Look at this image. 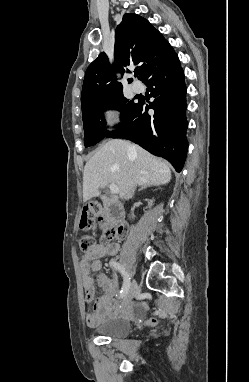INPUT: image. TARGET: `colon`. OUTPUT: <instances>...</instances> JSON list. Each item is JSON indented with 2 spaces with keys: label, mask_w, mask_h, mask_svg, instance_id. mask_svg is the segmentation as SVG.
<instances>
[{
  "label": "colon",
  "mask_w": 249,
  "mask_h": 382,
  "mask_svg": "<svg viewBox=\"0 0 249 382\" xmlns=\"http://www.w3.org/2000/svg\"><path fill=\"white\" fill-rule=\"evenodd\" d=\"M97 220L106 224L104 210L99 204H91L83 208L80 218V228L89 229L93 227ZM123 236V228L121 226L106 225L102 232V242L112 244L114 241L121 239ZM95 245V240L91 236H83L80 239V247L83 251H90ZM155 323L154 320L151 321Z\"/></svg>",
  "instance_id": "5ec220e1"
}]
</instances>
